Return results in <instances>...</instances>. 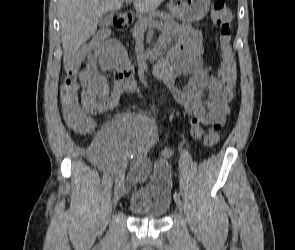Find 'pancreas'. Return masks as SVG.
Masks as SVG:
<instances>
[{
    "label": "pancreas",
    "instance_id": "pancreas-1",
    "mask_svg": "<svg viewBox=\"0 0 295 250\" xmlns=\"http://www.w3.org/2000/svg\"><path fill=\"white\" fill-rule=\"evenodd\" d=\"M156 18H158L160 20V24L164 26L176 24L173 15L165 11H154L149 13L147 16L138 17L134 28L131 30L133 37L137 38L141 32L147 29L143 25L155 21Z\"/></svg>",
    "mask_w": 295,
    "mask_h": 250
}]
</instances>
